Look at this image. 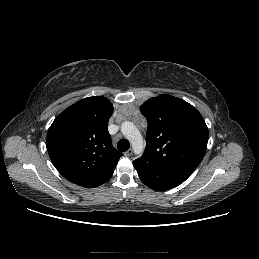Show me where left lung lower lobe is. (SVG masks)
Instances as JSON below:
<instances>
[{
    "label": "left lung lower lobe",
    "instance_id": "left-lung-lower-lobe-1",
    "mask_svg": "<svg viewBox=\"0 0 259 259\" xmlns=\"http://www.w3.org/2000/svg\"><path fill=\"white\" fill-rule=\"evenodd\" d=\"M133 165L141 181L149 188L157 191L172 189L189 177L140 159L134 160Z\"/></svg>",
    "mask_w": 259,
    "mask_h": 259
}]
</instances>
